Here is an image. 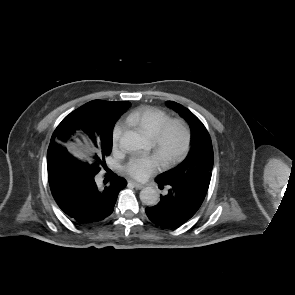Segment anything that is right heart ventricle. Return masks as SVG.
<instances>
[{
    "instance_id": "e07e8e85",
    "label": "right heart ventricle",
    "mask_w": 295,
    "mask_h": 295,
    "mask_svg": "<svg viewBox=\"0 0 295 295\" xmlns=\"http://www.w3.org/2000/svg\"><path fill=\"white\" fill-rule=\"evenodd\" d=\"M170 119V115L164 110L156 107H144L130 113L127 122L153 138Z\"/></svg>"
}]
</instances>
